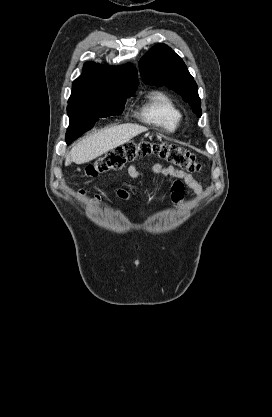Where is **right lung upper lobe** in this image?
<instances>
[{
  "mask_svg": "<svg viewBox=\"0 0 272 417\" xmlns=\"http://www.w3.org/2000/svg\"><path fill=\"white\" fill-rule=\"evenodd\" d=\"M137 70L131 64L120 67L85 63L83 74L72 84L71 101H79L94 94L120 93L137 89Z\"/></svg>",
  "mask_w": 272,
  "mask_h": 417,
  "instance_id": "cb5924a9",
  "label": "right lung upper lobe"
}]
</instances>
